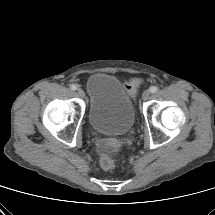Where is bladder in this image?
I'll list each match as a JSON object with an SVG mask.
<instances>
[{
    "mask_svg": "<svg viewBox=\"0 0 215 215\" xmlns=\"http://www.w3.org/2000/svg\"><path fill=\"white\" fill-rule=\"evenodd\" d=\"M88 120L91 127L106 135H124L135 122V107L123 84L114 76L95 73L87 81Z\"/></svg>",
    "mask_w": 215,
    "mask_h": 215,
    "instance_id": "obj_1",
    "label": "bladder"
}]
</instances>
